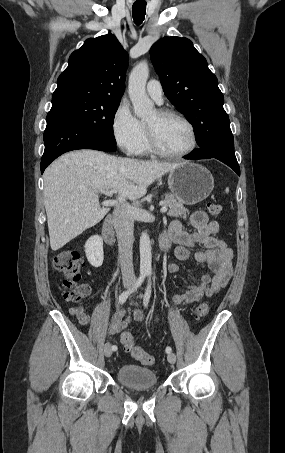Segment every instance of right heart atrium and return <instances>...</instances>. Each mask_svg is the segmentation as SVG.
<instances>
[{"instance_id":"obj_1","label":"right heart atrium","mask_w":285,"mask_h":453,"mask_svg":"<svg viewBox=\"0 0 285 453\" xmlns=\"http://www.w3.org/2000/svg\"><path fill=\"white\" fill-rule=\"evenodd\" d=\"M111 129L117 145L123 152L128 155L138 153L144 128L127 104L122 103L118 106L112 119Z\"/></svg>"}]
</instances>
